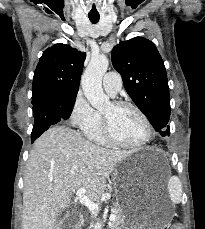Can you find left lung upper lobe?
I'll return each instance as SVG.
<instances>
[{"instance_id":"obj_1","label":"left lung upper lobe","mask_w":205,"mask_h":229,"mask_svg":"<svg viewBox=\"0 0 205 229\" xmlns=\"http://www.w3.org/2000/svg\"><path fill=\"white\" fill-rule=\"evenodd\" d=\"M112 63L133 102L162 136L170 134L169 87L163 60L155 44L142 37L120 42Z\"/></svg>"}]
</instances>
